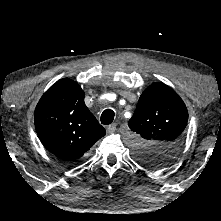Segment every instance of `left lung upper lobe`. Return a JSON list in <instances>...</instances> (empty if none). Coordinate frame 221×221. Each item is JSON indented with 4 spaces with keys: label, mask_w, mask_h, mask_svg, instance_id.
Masks as SVG:
<instances>
[{
    "label": "left lung upper lobe",
    "mask_w": 221,
    "mask_h": 221,
    "mask_svg": "<svg viewBox=\"0 0 221 221\" xmlns=\"http://www.w3.org/2000/svg\"><path fill=\"white\" fill-rule=\"evenodd\" d=\"M187 121L182 99L165 84H151L129 120V128L137 138L133 150L137 161L157 169L167 166L182 145Z\"/></svg>",
    "instance_id": "left-lung-upper-lobe-1"
}]
</instances>
